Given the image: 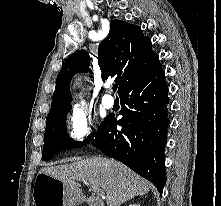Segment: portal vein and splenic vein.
Returning <instances> with one entry per match:
<instances>
[{"instance_id": "portal-vein-and-splenic-vein-1", "label": "portal vein and splenic vein", "mask_w": 221, "mask_h": 206, "mask_svg": "<svg viewBox=\"0 0 221 206\" xmlns=\"http://www.w3.org/2000/svg\"><path fill=\"white\" fill-rule=\"evenodd\" d=\"M94 193H96L98 196H101L102 198H105L104 192L101 189H98L97 187H92Z\"/></svg>"}]
</instances>
